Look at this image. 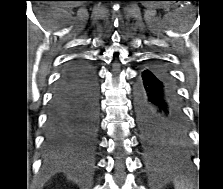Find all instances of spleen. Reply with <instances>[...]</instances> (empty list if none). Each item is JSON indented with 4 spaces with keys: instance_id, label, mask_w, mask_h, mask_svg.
<instances>
[{
    "instance_id": "1",
    "label": "spleen",
    "mask_w": 223,
    "mask_h": 189,
    "mask_svg": "<svg viewBox=\"0 0 223 189\" xmlns=\"http://www.w3.org/2000/svg\"><path fill=\"white\" fill-rule=\"evenodd\" d=\"M181 188H182V189H184V188L187 189V188L185 187V184H184V183H182V184L180 185V187H177V189H181Z\"/></svg>"
}]
</instances>
